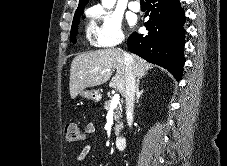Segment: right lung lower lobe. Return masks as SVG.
I'll use <instances>...</instances> for the list:
<instances>
[{"instance_id": "1", "label": "right lung lower lobe", "mask_w": 227, "mask_h": 166, "mask_svg": "<svg viewBox=\"0 0 227 166\" xmlns=\"http://www.w3.org/2000/svg\"><path fill=\"white\" fill-rule=\"evenodd\" d=\"M150 16L145 23L148 33H133L128 38L132 53L168 69L180 80L184 57L185 15L179 0H146Z\"/></svg>"}]
</instances>
